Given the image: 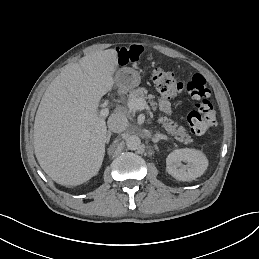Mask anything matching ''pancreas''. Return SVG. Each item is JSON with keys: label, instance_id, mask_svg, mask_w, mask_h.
<instances>
[{"label": "pancreas", "instance_id": "cf45deb5", "mask_svg": "<svg viewBox=\"0 0 259 259\" xmlns=\"http://www.w3.org/2000/svg\"><path fill=\"white\" fill-rule=\"evenodd\" d=\"M130 99L134 98H142L147 99L149 104L153 107V110L158 109V102L155 101V96L151 94H147V90L145 88H137L135 90H132L129 94ZM158 120L157 122L162 124V128L165 129V131L173 134L176 140L180 141L181 143L187 145L192 142V139L189 135H186L184 133V128L179 127L177 128V122H174L171 120V118L165 116L163 113H158Z\"/></svg>", "mask_w": 259, "mask_h": 259}]
</instances>
